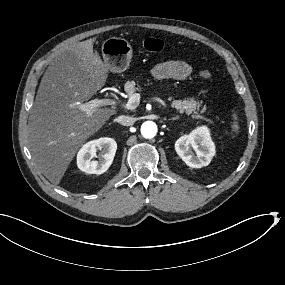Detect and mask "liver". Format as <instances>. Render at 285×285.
<instances>
[{"mask_svg": "<svg viewBox=\"0 0 285 285\" xmlns=\"http://www.w3.org/2000/svg\"><path fill=\"white\" fill-rule=\"evenodd\" d=\"M94 42H76L57 54L41 79L28 119L32 160L55 186L81 146L117 113L114 108H98L88 117L77 108L108 79V66L94 53Z\"/></svg>", "mask_w": 285, "mask_h": 285, "instance_id": "6515ba94", "label": "liver"}]
</instances>
